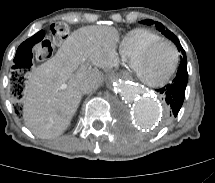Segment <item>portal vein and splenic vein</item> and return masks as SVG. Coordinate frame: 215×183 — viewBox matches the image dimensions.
<instances>
[{
    "mask_svg": "<svg viewBox=\"0 0 215 183\" xmlns=\"http://www.w3.org/2000/svg\"><path fill=\"white\" fill-rule=\"evenodd\" d=\"M85 58H83V61H82V64L81 65H84V63H85ZM66 88V85L65 84H63L62 86H61V89H65Z\"/></svg>",
    "mask_w": 215,
    "mask_h": 183,
    "instance_id": "1",
    "label": "portal vein and splenic vein"
}]
</instances>
